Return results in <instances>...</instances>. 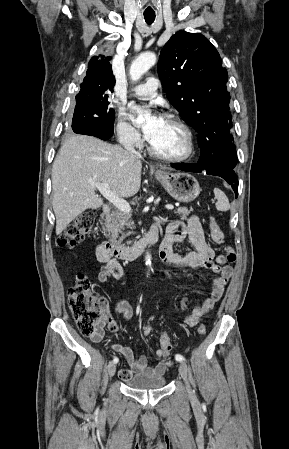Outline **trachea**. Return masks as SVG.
<instances>
[{
    "label": "trachea",
    "mask_w": 289,
    "mask_h": 449,
    "mask_svg": "<svg viewBox=\"0 0 289 449\" xmlns=\"http://www.w3.org/2000/svg\"><path fill=\"white\" fill-rule=\"evenodd\" d=\"M144 19L148 25H151L155 20V13H144Z\"/></svg>",
    "instance_id": "obj_1"
}]
</instances>
